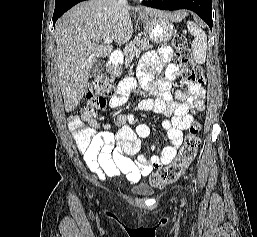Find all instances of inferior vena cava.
<instances>
[{
	"instance_id": "1",
	"label": "inferior vena cava",
	"mask_w": 257,
	"mask_h": 237,
	"mask_svg": "<svg viewBox=\"0 0 257 237\" xmlns=\"http://www.w3.org/2000/svg\"><path fill=\"white\" fill-rule=\"evenodd\" d=\"M118 4L126 6L127 0H118Z\"/></svg>"
}]
</instances>
